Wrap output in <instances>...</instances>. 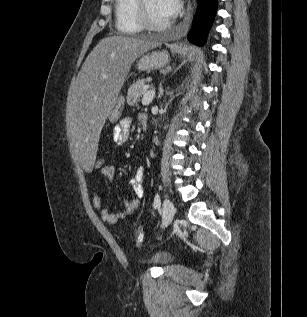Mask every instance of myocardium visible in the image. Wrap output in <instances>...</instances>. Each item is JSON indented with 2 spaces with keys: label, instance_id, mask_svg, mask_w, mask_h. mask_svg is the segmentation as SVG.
I'll list each match as a JSON object with an SVG mask.
<instances>
[{
  "label": "myocardium",
  "instance_id": "myocardium-1",
  "mask_svg": "<svg viewBox=\"0 0 307 317\" xmlns=\"http://www.w3.org/2000/svg\"><path fill=\"white\" fill-rule=\"evenodd\" d=\"M136 9L139 21L143 28L150 31H162L168 28L171 24V21L168 20L165 23H156L154 22L148 13L146 0H136Z\"/></svg>",
  "mask_w": 307,
  "mask_h": 317
}]
</instances>
